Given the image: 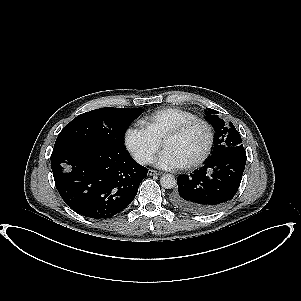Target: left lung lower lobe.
<instances>
[{
	"label": "left lung lower lobe",
	"instance_id": "1",
	"mask_svg": "<svg viewBox=\"0 0 301 301\" xmlns=\"http://www.w3.org/2000/svg\"><path fill=\"white\" fill-rule=\"evenodd\" d=\"M246 164L243 145L225 148L210 156L205 166L177 178L171 203L184 211L207 214L229 203L238 191Z\"/></svg>",
	"mask_w": 301,
	"mask_h": 301
}]
</instances>
